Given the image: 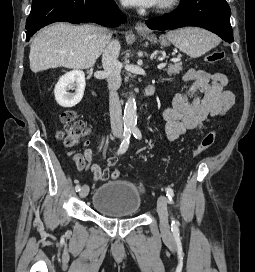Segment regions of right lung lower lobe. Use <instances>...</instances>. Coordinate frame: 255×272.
I'll return each instance as SVG.
<instances>
[{
    "mask_svg": "<svg viewBox=\"0 0 255 272\" xmlns=\"http://www.w3.org/2000/svg\"><path fill=\"white\" fill-rule=\"evenodd\" d=\"M59 21L115 26L125 22L114 0H33L26 21V41L42 27Z\"/></svg>",
    "mask_w": 255,
    "mask_h": 272,
    "instance_id": "98d812e1",
    "label": "right lung lower lobe"
}]
</instances>
